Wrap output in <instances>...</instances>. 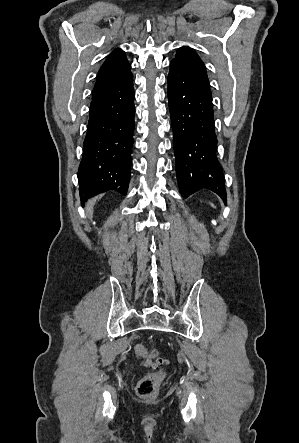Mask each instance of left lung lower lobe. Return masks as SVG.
<instances>
[{
  "label": "left lung lower lobe",
  "instance_id": "obj_1",
  "mask_svg": "<svg viewBox=\"0 0 299 443\" xmlns=\"http://www.w3.org/2000/svg\"><path fill=\"white\" fill-rule=\"evenodd\" d=\"M168 98L182 196L208 189L225 199V179L215 155L217 138L209 82L171 61Z\"/></svg>",
  "mask_w": 299,
  "mask_h": 443
}]
</instances>
